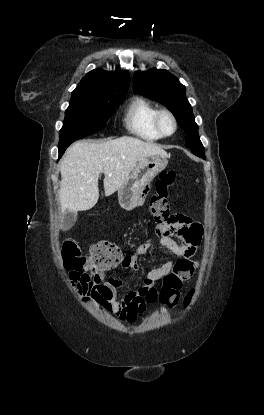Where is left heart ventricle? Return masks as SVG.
<instances>
[{
    "label": "left heart ventricle",
    "instance_id": "left-heart-ventricle-1",
    "mask_svg": "<svg viewBox=\"0 0 264 415\" xmlns=\"http://www.w3.org/2000/svg\"><path fill=\"white\" fill-rule=\"evenodd\" d=\"M161 128L165 133H170L173 130L172 120L167 115H163L161 118Z\"/></svg>",
    "mask_w": 264,
    "mask_h": 415
}]
</instances>
